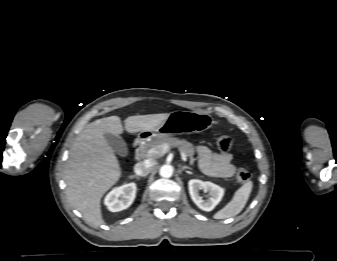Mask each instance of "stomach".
<instances>
[{
    "instance_id": "1",
    "label": "stomach",
    "mask_w": 337,
    "mask_h": 261,
    "mask_svg": "<svg viewBox=\"0 0 337 261\" xmlns=\"http://www.w3.org/2000/svg\"><path fill=\"white\" fill-rule=\"evenodd\" d=\"M213 125L209 114L196 111H174L151 131H141L142 138L200 133ZM143 135V136H142Z\"/></svg>"
}]
</instances>
